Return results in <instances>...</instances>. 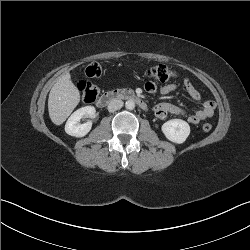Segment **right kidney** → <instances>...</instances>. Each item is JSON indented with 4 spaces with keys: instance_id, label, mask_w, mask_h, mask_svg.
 <instances>
[{
    "instance_id": "ca27d5eb",
    "label": "right kidney",
    "mask_w": 250,
    "mask_h": 250,
    "mask_svg": "<svg viewBox=\"0 0 250 250\" xmlns=\"http://www.w3.org/2000/svg\"><path fill=\"white\" fill-rule=\"evenodd\" d=\"M95 112L96 110L93 106H85L76 110L66 122V133L75 137H83L88 134L92 128V122L88 121L84 124H80L79 122L84 116L93 117Z\"/></svg>"
}]
</instances>
